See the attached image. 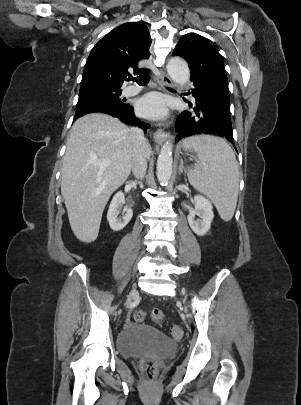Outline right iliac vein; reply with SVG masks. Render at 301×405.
I'll return each instance as SVG.
<instances>
[{"label":"right iliac vein","instance_id":"1","mask_svg":"<svg viewBox=\"0 0 301 405\" xmlns=\"http://www.w3.org/2000/svg\"><path fill=\"white\" fill-rule=\"evenodd\" d=\"M136 295H137V290H136V289H133V290L130 292V295H129L128 299H127V303H126V306H127V307H129V305L131 304L133 298H134Z\"/></svg>","mask_w":301,"mask_h":405}]
</instances>
